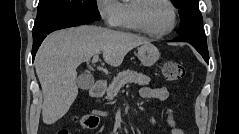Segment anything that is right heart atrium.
I'll return each mask as SVG.
<instances>
[{
  "label": "right heart atrium",
  "mask_w": 239,
  "mask_h": 134,
  "mask_svg": "<svg viewBox=\"0 0 239 134\" xmlns=\"http://www.w3.org/2000/svg\"><path fill=\"white\" fill-rule=\"evenodd\" d=\"M97 10L104 21L109 27H116L119 23L120 8L116 0H98Z\"/></svg>",
  "instance_id": "obj_1"
}]
</instances>
